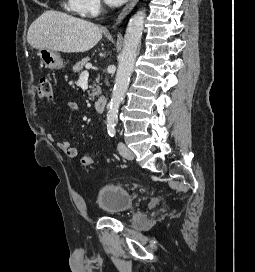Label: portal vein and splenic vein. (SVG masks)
<instances>
[{"mask_svg":"<svg viewBox=\"0 0 255 272\" xmlns=\"http://www.w3.org/2000/svg\"><path fill=\"white\" fill-rule=\"evenodd\" d=\"M85 67H86V70H85L84 72H82L81 75H88V71H87V70L91 69V68H92V65L89 63V64H87Z\"/></svg>","mask_w":255,"mask_h":272,"instance_id":"18ae733b","label":"portal vein and splenic vein"}]
</instances>
